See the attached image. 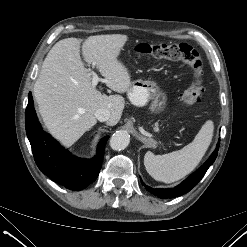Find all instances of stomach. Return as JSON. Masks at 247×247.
I'll return each instance as SVG.
<instances>
[{"label":"stomach","instance_id":"obj_1","mask_svg":"<svg viewBox=\"0 0 247 247\" xmlns=\"http://www.w3.org/2000/svg\"><path fill=\"white\" fill-rule=\"evenodd\" d=\"M130 102L136 106L143 107L150 103L151 113L162 112L167 103V96L160 90L156 81L138 79L131 83L127 91Z\"/></svg>","mask_w":247,"mask_h":247}]
</instances>
